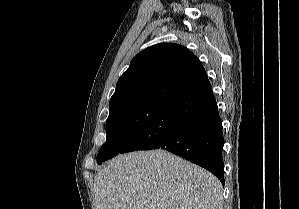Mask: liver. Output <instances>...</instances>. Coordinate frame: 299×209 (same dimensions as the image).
Segmentation results:
<instances>
[{"label": "liver", "instance_id": "liver-1", "mask_svg": "<svg viewBox=\"0 0 299 209\" xmlns=\"http://www.w3.org/2000/svg\"><path fill=\"white\" fill-rule=\"evenodd\" d=\"M95 209H222L209 171L166 150L121 154L94 178Z\"/></svg>", "mask_w": 299, "mask_h": 209}]
</instances>
